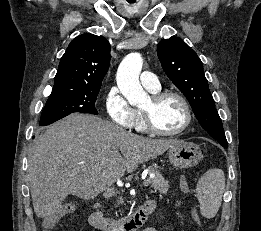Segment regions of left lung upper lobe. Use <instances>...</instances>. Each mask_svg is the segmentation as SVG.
I'll return each mask as SVG.
<instances>
[{"label": "left lung upper lobe", "mask_w": 261, "mask_h": 231, "mask_svg": "<svg viewBox=\"0 0 261 231\" xmlns=\"http://www.w3.org/2000/svg\"><path fill=\"white\" fill-rule=\"evenodd\" d=\"M162 68L188 99L202 127L218 142L227 143L223 125L215 108L203 64L196 52L181 38L163 39L157 46Z\"/></svg>", "instance_id": "obj_1"}]
</instances>
